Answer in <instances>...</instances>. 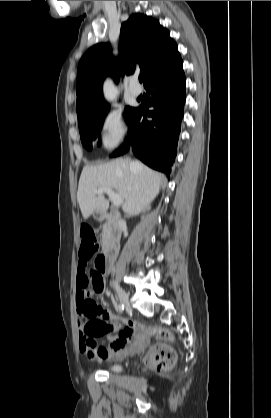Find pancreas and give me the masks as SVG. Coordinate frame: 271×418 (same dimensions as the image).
<instances>
[{
    "label": "pancreas",
    "instance_id": "1",
    "mask_svg": "<svg viewBox=\"0 0 271 418\" xmlns=\"http://www.w3.org/2000/svg\"><path fill=\"white\" fill-rule=\"evenodd\" d=\"M110 232L108 230V228H104L103 230V235H102V241H104L108 236H109Z\"/></svg>",
    "mask_w": 271,
    "mask_h": 418
}]
</instances>
